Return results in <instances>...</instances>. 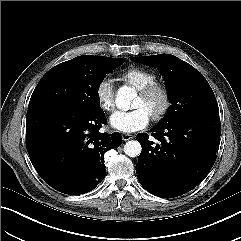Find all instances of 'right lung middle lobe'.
<instances>
[{
	"label": "right lung middle lobe",
	"mask_w": 241,
	"mask_h": 241,
	"mask_svg": "<svg viewBox=\"0 0 241 241\" xmlns=\"http://www.w3.org/2000/svg\"><path fill=\"white\" fill-rule=\"evenodd\" d=\"M125 58L83 55L50 69L37 84L29 110L58 106L91 114L102 110L98 89L106 74Z\"/></svg>",
	"instance_id": "right-lung-middle-lobe-1"
}]
</instances>
